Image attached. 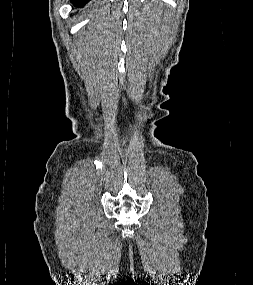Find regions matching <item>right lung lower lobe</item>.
Here are the masks:
<instances>
[{
  "instance_id": "obj_1",
  "label": "right lung lower lobe",
  "mask_w": 253,
  "mask_h": 285,
  "mask_svg": "<svg viewBox=\"0 0 253 285\" xmlns=\"http://www.w3.org/2000/svg\"><path fill=\"white\" fill-rule=\"evenodd\" d=\"M75 6L82 7L85 5L89 0H70Z\"/></svg>"
}]
</instances>
